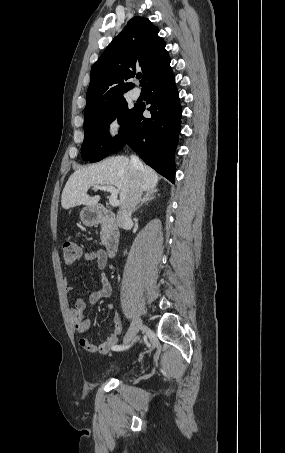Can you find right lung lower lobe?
Returning <instances> with one entry per match:
<instances>
[{
  "label": "right lung lower lobe",
  "mask_w": 285,
  "mask_h": 453,
  "mask_svg": "<svg viewBox=\"0 0 285 453\" xmlns=\"http://www.w3.org/2000/svg\"><path fill=\"white\" fill-rule=\"evenodd\" d=\"M145 87L151 118L143 117L145 106H136L124 138L112 153L127 143L146 164L174 183V154L182 110L171 67L151 77Z\"/></svg>",
  "instance_id": "1"
}]
</instances>
